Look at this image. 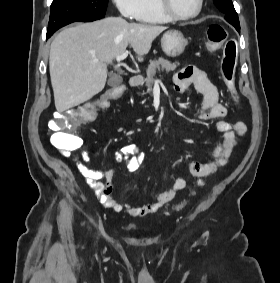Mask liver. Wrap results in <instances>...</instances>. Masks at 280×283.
Returning a JSON list of instances; mask_svg holds the SVG:
<instances>
[{"instance_id":"6515ba94","label":"liver","mask_w":280,"mask_h":283,"mask_svg":"<svg viewBox=\"0 0 280 283\" xmlns=\"http://www.w3.org/2000/svg\"><path fill=\"white\" fill-rule=\"evenodd\" d=\"M166 29L128 23L121 17L63 29L53 40L49 55L56 110L64 112L102 91L107 80V64L124 53L128 45L138 61H143L153 40Z\"/></svg>"}]
</instances>
